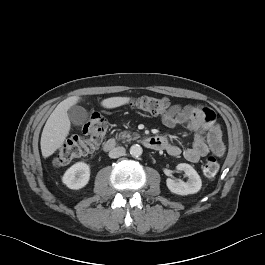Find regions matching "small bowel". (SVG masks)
Wrapping results in <instances>:
<instances>
[{
	"label": "small bowel",
	"instance_id": "small-bowel-1",
	"mask_svg": "<svg viewBox=\"0 0 265 265\" xmlns=\"http://www.w3.org/2000/svg\"><path fill=\"white\" fill-rule=\"evenodd\" d=\"M162 122L169 128L186 125L195 133L191 147L183 151L166 137H162L165 141L163 149L171 156L183 154L186 160L195 163L208 153L222 156L225 152L221 130L215 122L213 110L208 106L174 104L170 107L169 113L163 116Z\"/></svg>",
	"mask_w": 265,
	"mask_h": 265
}]
</instances>
